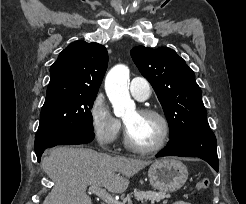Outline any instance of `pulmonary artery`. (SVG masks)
Instances as JSON below:
<instances>
[{
  "instance_id": "e3ab8cb5",
  "label": "pulmonary artery",
  "mask_w": 246,
  "mask_h": 204,
  "mask_svg": "<svg viewBox=\"0 0 246 204\" xmlns=\"http://www.w3.org/2000/svg\"><path fill=\"white\" fill-rule=\"evenodd\" d=\"M130 92L135 99L143 101L150 96L151 87L145 78L135 77L130 82Z\"/></svg>"
}]
</instances>
